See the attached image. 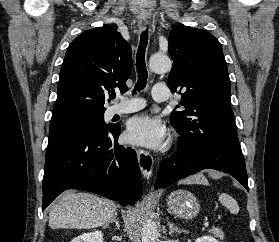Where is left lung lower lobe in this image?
Masks as SVG:
<instances>
[{"instance_id":"obj_1","label":"left lung lower lobe","mask_w":279,"mask_h":242,"mask_svg":"<svg viewBox=\"0 0 279 242\" xmlns=\"http://www.w3.org/2000/svg\"><path fill=\"white\" fill-rule=\"evenodd\" d=\"M216 169L229 173L248 190V177L242 153L207 147L181 150L160 163L155 189L165 188L174 182L203 169Z\"/></svg>"}]
</instances>
